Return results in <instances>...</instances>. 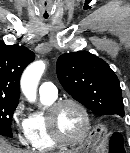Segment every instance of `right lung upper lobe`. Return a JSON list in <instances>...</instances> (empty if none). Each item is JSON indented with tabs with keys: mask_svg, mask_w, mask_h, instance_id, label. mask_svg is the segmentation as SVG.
I'll return each instance as SVG.
<instances>
[{
	"mask_svg": "<svg viewBox=\"0 0 130 153\" xmlns=\"http://www.w3.org/2000/svg\"><path fill=\"white\" fill-rule=\"evenodd\" d=\"M34 57L24 46L0 42V99L19 101L20 76Z\"/></svg>",
	"mask_w": 130,
	"mask_h": 153,
	"instance_id": "obj_1",
	"label": "right lung upper lobe"
}]
</instances>
